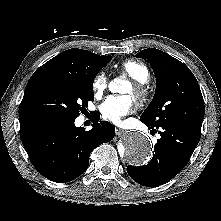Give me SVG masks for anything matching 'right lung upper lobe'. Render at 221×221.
<instances>
[{"instance_id": "1", "label": "right lung upper lobe", "mask_w": 221, "mask_h": 221, "mask_svg": "<svg viewBox=\"0 0 221 221\" xmlns=\"http://www.w3.org/2000/svg\"><path fill=\"white\" fill-rule=\"evenodd\" d=\"M107 57L82 49H69L39 67L29 82L47 74L85 76L91 74Z\"/></svg>"}]
</instances>
